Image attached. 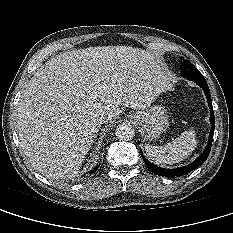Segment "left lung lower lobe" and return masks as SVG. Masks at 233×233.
Segmentation results:
<instances>
[{"label":"left lung lower lobe","mask_w":233,"mask_h":233,"mask_svg":"<svg viewBox=\"0 0 233 233\" xmlns=\"http://www.w3.org/2000/svg\"><path fill=\"white\" fill-rule=\"evenodd\" d=\"M196 83L204 90V93L206 95V98H207V101L209 104V108H210L211 130H210V134H209L208 144H207L204 152L195 161H193L192 163H190L187 166L176 168V169H164V168L158 167V166L150 163L144 157L142 151L140 150V154H141L143 160L145 161L147 167L156 175L171 177V178L185 175V174L191 172L192 170L196 169L197 167H199L202 163H204L206 161L209 153H210L212 141H213L214 128H215V117H214V112H213V107H212V100H211L210 90H209V87H208L206 80L205 81H198Z\"/></svg>","instance_id":"left-lung-lower-lobe-1"}]
</instances>
